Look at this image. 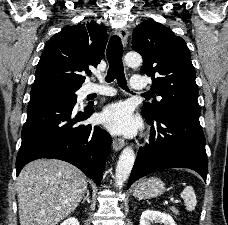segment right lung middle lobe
Wrapping results in <instances>:
<instances>
[{
  "label": "right lung middle lobe",
  "mask_w": 228,
  "mask_h": 225,
  "mask_svg": "<svg viewBox=\"0 0 228 225\" xmlns=\"http://www.w3.org/2000/svg\"><path fill=\"white\" fill-rule=\"evenodd\" d=\"M79 88L69 87L63 84H44L32 87L29 104H35L42 101L54 99H66L76 101L75 92Z\"/></svg>",
  "instance_id": "1"
}]
</instances>
